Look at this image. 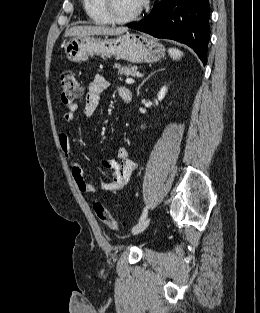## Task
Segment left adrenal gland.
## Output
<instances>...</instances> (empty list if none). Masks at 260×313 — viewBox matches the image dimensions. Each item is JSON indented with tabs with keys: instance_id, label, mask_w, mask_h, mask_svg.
Segmentation results:
<instances>
[{
	"instance_id": "obj_1",
	"label": "left adrenal gland",
	"mask_w": 260,
	"mask_h": 313,
	"mask_svg": "<svg viewBox=\"0 0 260 313\" xmlns=\"http://www.w3.org/2000/svg\"><path fill=\"white\" fill-rule=\"evenodd\" d=\"M153 74V73H152ZM151 74V75H152ZM151 75H149L146 79L143 80V82L138 86V89H137V95L140 94V88L142 87V85H144V83L151 77Z\"/></svg>"
}]
</instances>
